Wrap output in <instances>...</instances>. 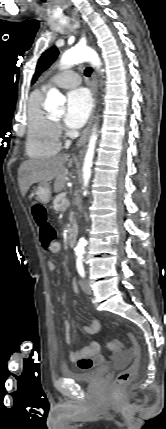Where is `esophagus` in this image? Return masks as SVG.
Wrapping results in <instances>:
<instances>
[{
  "label": "esophagus",
  "mask_w": 166,
  "mask_h": 429,
  "mask_svg": "<svg viewBox=\"0 0 166 429\" xmlns=\"http://www.w3.org/2000/svg\"><path fill=\"white\" fill-rule=\"evenodd\" d=\"M78 17H79L78 12L73 11L72 12V18L77 19ZM91 91H92V96H93V109H92L89 121L87 123V126L83 130L81 137L79 138V140L77 142V148H80L86 142L88 134H89V130H90L93 118H94V112H95V108H96V93H97V74L95 71H93V73H92Z\"/></svg>",
  "instance_id": "esophagus-1"
}]
</instances>
